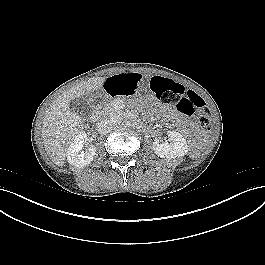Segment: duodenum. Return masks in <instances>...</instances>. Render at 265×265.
<instances>
[{"instance_id":"duodenum-1","label":"duodenum","mask_w":265,"mask_h":265,"mask_svg":"<svg viewBox=\"0 0 265 265\" xmlns=\"http://www.w3.org/2000/svg\"><path fill=\"white\" fill-rule=\"evenodd\" d=\"M97 103H98V102L95 103V107H96V104H97ZM98 116H99V112H98V111H95L94 114H93V119H97Z\"/></svg>"}]
</instances>
